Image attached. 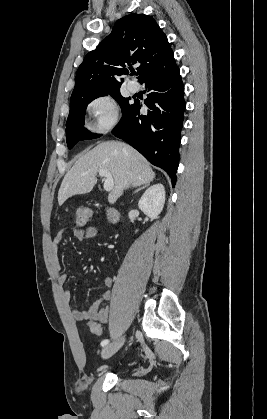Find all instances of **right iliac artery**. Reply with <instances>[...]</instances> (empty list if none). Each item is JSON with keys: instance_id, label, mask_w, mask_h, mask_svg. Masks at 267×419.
<instances>
[{"instance_id": "right-iliac-artery-1", "label": "right iliac artery", "mask_w": 267, "mask_h": 419, "mask_svg": "<svg viewBox=\"0 0 267 419\" xmlns=\"http://www.w3.org/2000/svg\"><path fill=\"white\" fill-rule=\"evenodd\" d=\"M109 343L108 339H105L101 342V346H106Z\"/></svg>"}]
</instances>
